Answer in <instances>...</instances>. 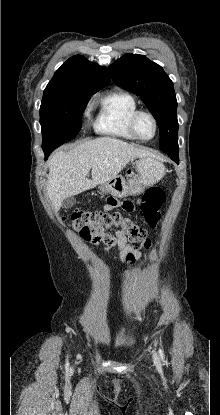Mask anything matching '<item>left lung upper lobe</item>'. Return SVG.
<instances>
[{
    "label": "left lung upper lobe",
    "instance_id": "left-lung-upper-lobe-1",
    "mask_svg": "<svg viewBox=\"0 0 220 415\" xmlns=\"http://www.w3.org/2000/svg\"><path fill=\"white\" fill-rule=\"evenodd\" d=\"M109 71L115 84L139 95L155 117L160 150L178 152L177 100L173 82L163 68L143 55L128 53Z\"/></svg>",
    "mask_w": 220,
    "mask_h": 415
}]
</instances>
